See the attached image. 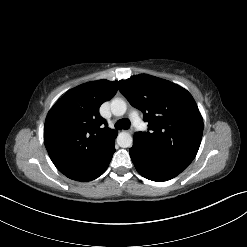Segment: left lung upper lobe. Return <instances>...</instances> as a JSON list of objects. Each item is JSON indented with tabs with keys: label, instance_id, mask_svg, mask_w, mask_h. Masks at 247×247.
I'll use <instances>...</instances> for the list:
<instances>
[{
	"label": "left lung upper lobe",
	"instance_id": "obj_1",
	"mask_svg": "<svg viewBox=\"0 0 247 247\" xmlns=\"http://www.w3.org/2000/svg\"><path fill=\"white\" fill-rule=\"evenodd\" d=\"M119 90L148 122L150 131L136 132L134 140L187 167L198 152L203 134L202 117L190 93L147 74L120 80Z\"/></svg>",
	"mask_w": 247,
	"mask_h": 247
}]
</instances>
